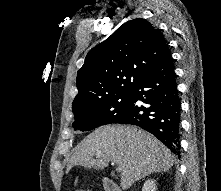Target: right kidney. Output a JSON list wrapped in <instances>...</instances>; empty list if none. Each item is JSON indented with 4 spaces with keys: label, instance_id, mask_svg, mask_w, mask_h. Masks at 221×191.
<instances>
[{
    "label": "right kidney",
    "instance_id": "obj_1",
    "mask_svg": "<svg viewBox=\"0 0 221 191\" xmlns=\"http://www.w3.org/2000/svg\"><path fill=\"white\" fill-rule=\"evenodd\" d=\"M156 189V181L154 179H148L142 187V191H156Z\"/></svg>",
    "mask_w": 221,
    "mask_h": 191
}]
</instances>
